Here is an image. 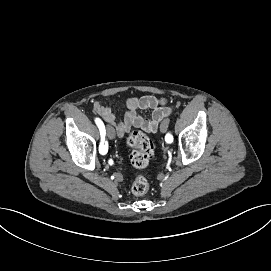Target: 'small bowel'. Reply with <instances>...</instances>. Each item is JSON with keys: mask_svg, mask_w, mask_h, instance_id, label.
<instances>
[{"mask_svg": "<svg viewBox=\"0 0 271 271\" xmlns=\"http://www.w3.org/2000/svg\"><path fill=\"white\" fill-rule=\"evenodd\" d=\"M139 110H150V116L146 117L139 114ZM93 112L107 124V127H110L115 133L122 136L132 127L140 128L145 132L155 133L160 121L168 117L172 109L168 106L165 98L144 95L132 97L126 101V111L123 119L120 121H117L115 114L110 108L99 102L94 103Z\"/></svg>", "mask_w": 271, "mask_h": 271, "instance_id": "small-bowel-1", "label": "small bowel"}]
</instances>
